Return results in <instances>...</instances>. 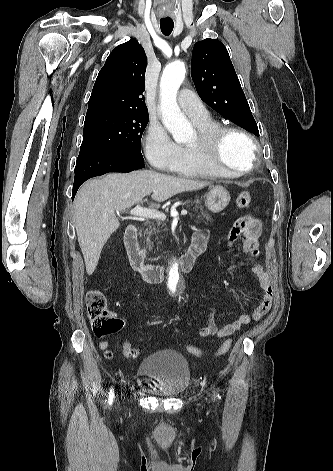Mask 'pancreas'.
Returning a JSON list of instances; mask_svg holds the SVG:
<instances>
[{"mask_svg": "<svg viewBox=\"0 0 333 471\" xmlns=\"http://www.w3.org/2000/svg\"><path fill=\"white\" fill-rule=\"evenodd\" d=\"M187 203L191 204V206L194 205V210H195L196 212L199 211V214L196 215V220H195L196 223H201L203 218H205L207 221H211V220H212L211 216H210L207 212H205V211L203 210V207H202V206H199V204H200V201H199V200H196V201H194V202H192L191 200H188ZM192 216H194V215H191V217H192ZM159 225H160V224H159ZM157 233H159V229H158L157 227H155V226H152V225H150L149 228H147V229L144 231V238H145V241H144V242L146 243V249H148V250H151V249H152V247H153V242H152V240H151V236H153V235H155V234H157ZM156 239H157V237H156Z\"/></svg>", "mask_w": 333, "mask_h": 471, "instance_id": "pancreas-1", "label": "pancreas"}]
</instances>
